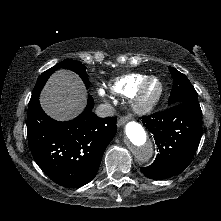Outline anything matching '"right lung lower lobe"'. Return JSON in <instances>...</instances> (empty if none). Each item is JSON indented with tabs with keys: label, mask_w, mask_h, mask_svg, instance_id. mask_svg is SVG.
Segmentation results:
<instances>
[{
	"label": "right lung lower lobe",
	"mask_w": 221,
	"mask_h": 221,
	"mask_svg": "<svg viewBox=\"0 0 221 221\" xmlns=\"http://www.w3.org/2000/svg\"><path fill=\"white\" fill-rule=\"evenodd\" d=\"M39 94L31 98L27 117L28 143L35 162L61 186L77 188L89 183L116 134V118L95 115L94 101L89 96L78 117L59 122L42 110Z\"/></svg>",
	"instance_id": "98d812e1"
}]
</instances>
